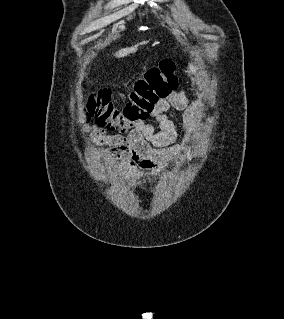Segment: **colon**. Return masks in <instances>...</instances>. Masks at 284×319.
Wrapping results in <instances>:
<instances>
[{
  "label": "colon",
  "mask_w": 284,
  "mask_h": 319,
  "mask_svg": "<svg viewBox=\"0 0 284 319\" xmlns=\"http://www.w3.org/2000/svg\"><path fill=\"white\" fill-rule=\"evenodd\" d=\"M177 87L174 64L163 61L149 68L133 83L129 98L121 107L115 106L108 91L90 95L84 107L85 117L87 120L95 119L101 128L125 133L146 121L155 105Z\"/></svg>",
  "instance_id": "colon-1"
}]
</instances>
